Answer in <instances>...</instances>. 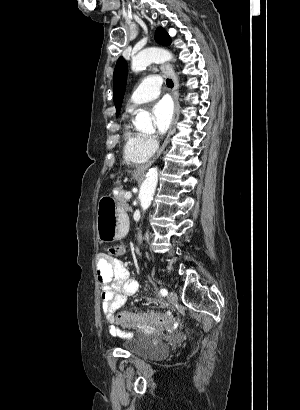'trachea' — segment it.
<instances>
[{
    "mask_svg": "<svg viewBox=\"0 0 300 410\" xmlns=\"http://www.w3.org/2000/svg\"><path fill=\"white\" fill-rule=\"evenodd\" d=\"M166 84L169 88H172L174 86V83L171 79H166Z\"/></svg>",
    "mask_w": 300,
    "mask_h": 410,
    "instance_id": "obj_1",
    "label": "trachea"
}]
</instances>
